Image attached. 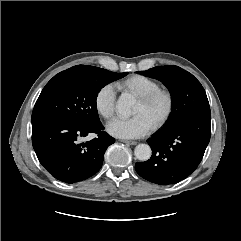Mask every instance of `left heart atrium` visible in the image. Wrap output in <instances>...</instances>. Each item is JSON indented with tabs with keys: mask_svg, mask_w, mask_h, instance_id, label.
Listing matches in <instances>:
<instances>
[{
	"mask_svg": "<svg viewBox=\"0 0 241 241\" xmlns=\"http://www.w3.org/2000/svg\"><path fill=\"white\" fill-rule=\"evenodd\" d=\"M152 124L144 114H136L131 118H115L107 126V131L118 138H139L150 132Z\"/></svg>",
	"mask_w": 241,
	"mask_h": 241,
	"instance_id": "39dd6f15",
	"label": "left heart atrium"
}]
</instances>
